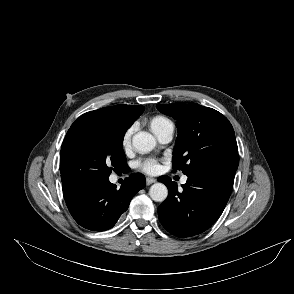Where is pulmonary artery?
<instances>
[{"label": "pulmonary artery", "instance_id": "obj_1", "mask_svg": "<svg viewBox=\"0 0 294 294\" xmlns=\"http://www.w3.org/2000/svg\"><path fill=\"white\" fill-rule=\"evenodd\" d=\"M173 134H174V124L171 123L157 134V138L162 143H168L172 140ZM186 182H187V176H183L181 178V183L185 184Z\"/></svg>", "mask_w": 294, "mask_h": 294}]
</instances>
